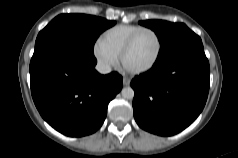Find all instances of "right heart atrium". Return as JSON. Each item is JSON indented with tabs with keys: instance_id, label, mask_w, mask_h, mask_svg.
<instances>
[{
	"instance_id": "1",
	"label": "right heart atrium",
	"mask_w": 238,
	"mask_h": 158,
	"mask_svg": "<svg viewBox=\"0 0 238 158\" xmlns=\"http://www.w3.org/2000/svg\"><path fill=\"white\" fill-rule=\"evenodd\" d=\"M93 51L96 59L105 69H110L118 63V56L100 40L95 43Z\"/></svg>"
}]
</instances>
